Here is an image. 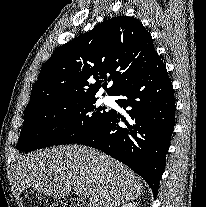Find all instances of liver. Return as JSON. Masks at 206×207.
Returning a JSON list of instances; mask_svg holds the SVG:
<instances>
[{
  "label": "liver",
  "mask_w": 206,
  "mask_h": 207,
  "mask_svg": "<svg viewBox=\"0 0 206 207\" xmlns=\"http://www.w3.org/2000/svg\"><path fill=\"white\" fill-rule=\"evenodd\" d=\"M18 188H34L53 198L79 189L90 207H118L143 192L140 177L110 156L86 146L68 145L27 154L17 164Z\"/></svg>",
  "instance_id": "6515ba94"
}]
</instances>
